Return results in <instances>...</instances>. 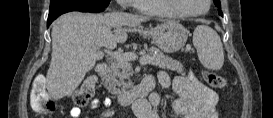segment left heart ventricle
I'll use <instances>...</instances> for the list:
<instances>
[{
  "instance_id": "1",
  "label": "left heart ventricle",
  "mask_w": 273,
  "mask_h": 118,
  "mask_svg": "<svg viewBox=\"0 0 273 118\" xmlns=\"http://www.w3.org/2000/svg\"><path fill=\"white\" fill-rule=\"evenodd\" d=\"M183 8L190 12L203 11L206 8L204 0H180Z\"/></svg>"
}]
</instances>
